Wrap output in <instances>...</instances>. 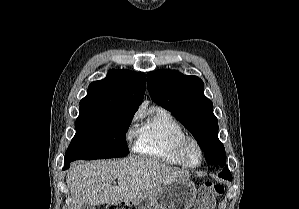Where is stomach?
<instances>
[{
  "label": "stomach",
  "instance_id": "0dacf381",
  "mask_svg": "<svg viewBox=\"0 0 299 209\" xmlns=\"http://www.w3.org/2000/svg\"><path fill=\"white\" fill-rule=\"evenodd\" d=\"M197 196L189 177H177L149 190L133 201L112 203L107 209H190Z\"/></svg>",
  "mask_w": 299,
  "mask_h": 209
}]
</instances>
